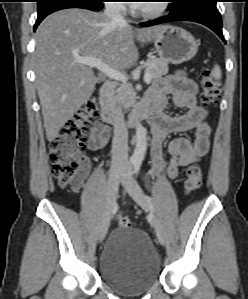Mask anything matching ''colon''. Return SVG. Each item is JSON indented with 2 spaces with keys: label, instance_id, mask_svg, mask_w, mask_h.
I'll use <instances>...</instances> for the list:
<instances>
[{
  "label": "colon",
  "instance_id": "colon-1",
  "mask_svg": "<svg viewBox=\"0 0 248 299\" xmlns=\"http://www.w3.org/2000/svg\"><path fill=\"white\" fill-rule=\"evenodd\" d=\"M219 95L220 86L215 81L211 69L204 68L201 79V106L215 104ZM97 115V101L95 98H90L64 124L59 134L50 143L52 175L61 188L76 189L85 176L81 152L88 138L87 125ZM201 182V168L197 164L190 165L186 171L184 191L187 194L196 191ZM118 223L121 228L131 227V220L124 215L118 217Z\"/></svg>",
  "mask_w": 248,
  "mask_h": 299
}]
</instances>
